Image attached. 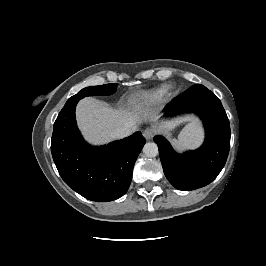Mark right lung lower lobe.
<instances>
[{
	"label": "right lung lower lobe",
	"instance_id": "1",
	"mask_svg": "<svg viewBox=\"0 0 266 266\" xmlns=\"http://www.w3.org/2000/svg\"><path fill=\"white\" fill-rule=\"evenodd\" d=\"M73 102L61 110L53 128L51 152L64 182L86 199L108 202L128 190L135 161L145 144L140 132L105 146H91L77 128Z\"/></svg>",
	"mask_w": 266,
	"mask_h": 266
}]
</instances>
